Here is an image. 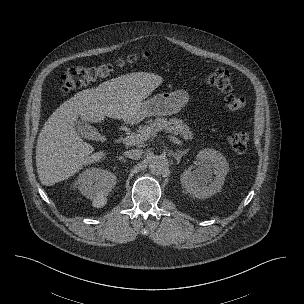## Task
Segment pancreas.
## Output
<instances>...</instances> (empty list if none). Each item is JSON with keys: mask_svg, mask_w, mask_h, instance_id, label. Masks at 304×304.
<instances>
[{"mask_svg": "<svg viewBox=\"0 0 304 304\" xmlns=\"http://www.w3.org/2000/svg\"><path fill=\"white\" fill-rule=\"evenodd\" d=\"M166 131L175 135H180L184 139H192L193 133L190 127L181 119L172 118L170 120L165 118H156L149 120L147 125L140 126L135 136L139 137V143L142 144L149 138L155 136L157 132Z\"/></svg>", "mask_w": 304, "mask_h": 304, "instance_id": "cf45deb5", "label": "pancreas"}]
</instances>
